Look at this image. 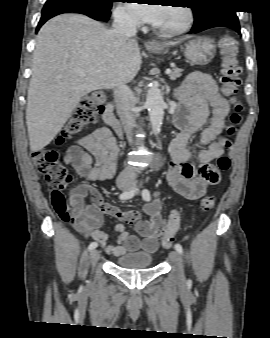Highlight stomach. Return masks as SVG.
<instances>
[{
	"label": "stomach",
	"mask_w": 270,
	"mask_h": 338,
	"mask_svg": "<svg viewBox=\"0 0 270 338\" xmlns=\"http://www.w3.org/2000/svg\"><path fill=\"white\" fill-rule=\"evenodd\" d=\"M153 53H162L166 50L162 46L148 48ZM216 47L213 40L206 37H197L185 44V57L194 65H207L214 57Z\"/></svg>",
	"instance_id": "1"
}]
</instances>
